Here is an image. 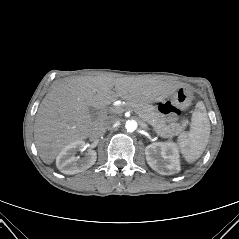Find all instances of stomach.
<instances>
[{"label":"stomach","instance_id":"stomach-1","mask_svg":"<svg viewBox=\"0 0 239 239\" xmlns=\"http://www.w3.org/2000/svg\"><path fill=\"white\" fill-rule=\"evenodd\" d=\"M190 92L185 86H179L171 98L162 99L159 104L160 116L169 123H178L185 116V107L190 101Z\"/></svg>","mask_w":239,"mask_h":239}]
</instances>
